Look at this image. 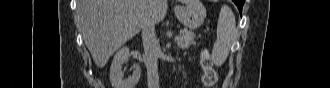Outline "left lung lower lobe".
Returning <instances> with one entry per match:
<instances>
[{"instance_id": "left-lung-lower-lobe-1", "label": "left lung lower lobe", "mask_w": 330, "mask_h": 88, "mask_svg": "<svg viewBox=\"0 0 330 88\" xmlns=\"http://www.w3.org/2000/svg\"><path fill=\"white\" fill-rule=\"evenodd\" d=\"M233 1L237 5L240 14H242V7H243L245 0H233Z\"/></svg>"}]
</instances>
